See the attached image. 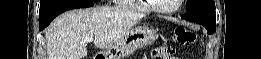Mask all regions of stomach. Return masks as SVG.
<instances>
[{"label":"stomach","instance_id":"obj_1","mask_svg":"<svg viewBox=\"0 0 261 59\" xmlns=\"http://www.w3.org/2000/svg\"><path fill=\"white\" fill-rule=\"evenodd\" d=\"M158 34L153 27L141 25L132 28L109 50L100 54L104 59H125L141 48L151 45Z\"/></svg>","mask_w":261,"mask_h":59}]
</instances>
